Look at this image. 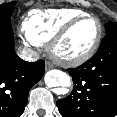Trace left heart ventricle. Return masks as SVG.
Masks as SVG:
<instances>
[{
	"mask_svg": "<svg viewBox=\"0 0 117 117\" xmlns=\"http://www.w3.org/2000/svg\"><path fill=\"white\" fill-rule=\"evenodd\" d=\"M98 26L92 19L78 24L60 45V52L67 56H78L85 53L93 44Z\"/></svg>",
	"mask_w": 117,
	"mask_h": 117,
	"instance_id": "1",
	"label": "left heart ventricle"
}]
</instances>
